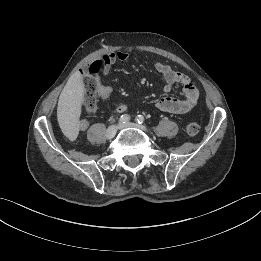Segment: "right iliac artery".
<instances>
[{
    "label": "right iliac artery",
    "instance_id": "1",
    "mask_svg": "<svg viewBox=\"0 0 261 261\" xmlns=\"http://www.w3.org/2000/svg\"><path fill=\"white\" fill-rule=\"evenodd\" d=\"M130 120V116L125 114V115H122L119 119V124H124V123H127L128 121Z\"/></svg>",
    "mask_w": 261,
    "mask_h": 261
}]
</instances>
